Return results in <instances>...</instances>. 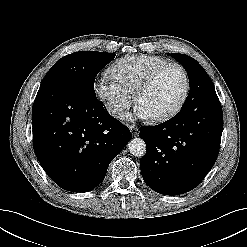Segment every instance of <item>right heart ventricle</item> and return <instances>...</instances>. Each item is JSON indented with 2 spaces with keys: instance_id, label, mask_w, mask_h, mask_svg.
I'll return each instance as SVG.
<instances>
[{
  "instance_id": "e07e8e85",
  "label": "right heart ventricle",
  "mask_w": 247,
  "mask_h": 247,
  "mask_svg": "<svg viewBox=\"0 0 247 247\" xmlns=\"http://www.w3.org/2000/svg\"><path fill=\"white\" fill-rule=\"evenodd\" d=\"M168 63V60L158 56L134 55L118 60L109 72L128 94L133 95L151 72Z\"/></svg>"
}]
</instances>
